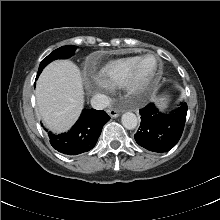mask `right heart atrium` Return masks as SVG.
Instances as JSON below:
<instances>
[{"label":"right heart atrium","mask_w":220,"mask_h":220,"mask_svg":"<svg viewBox=\"0 0 220 220\" xmlns=\"http://www.w3.org/2000/svg\"><path fill=\"white\" fill-rule=\"evenodd\" d=\"M90 88L96 93H106L109 91L110 86L100 79H95L90 83Z\"/></svg>","instance_id":"obj_1"}]
</instances>
